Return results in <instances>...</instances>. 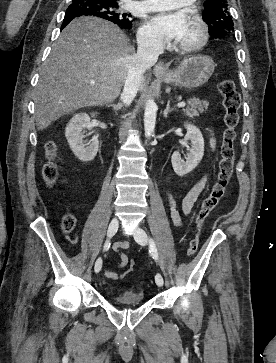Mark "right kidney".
<instances>
[{
    "instance_id": "ca27d5eb",
    "label": "right kidney",
    "mask_w": 276,
    "mask_h": 363,
    "mask_svg": "<svg viewBox=\"0 0 276 363\" xmlns=\"http://www.w3.org/2000/svg\"><path fill=\"white\" fill-rule=\"evenodd\" d=\"M96 114H91L94 117ZM90 116L87 113L74 115L65 128V136L74 155L82 162L92 161L99 148L98 137L94 136L88 143L84 141V129H91Z\"/></svg>"
}]
</instances>
